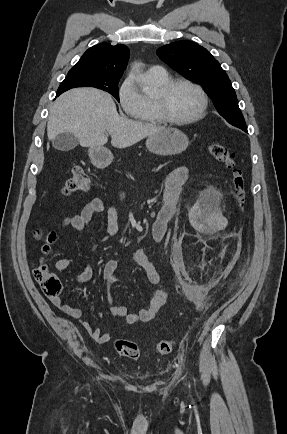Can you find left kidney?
Instances as JSON below:
<instances>
[{"instance_id":"5707ae66","label":"left kidney","mask_w":287,"mask_h":434,"mask_svg":"<svg viewBox=\"0 0 287 434\" xmlns=\"http://www.w3.org/2000/svg\"><path fill=\"white\" fill-rule=\"evenodd\" d=\"M200 211V207L199 206H194L190 211H189V220L190 223L193 226L197 225V216L199 214Z\"/></svg>"}]
</instances>
